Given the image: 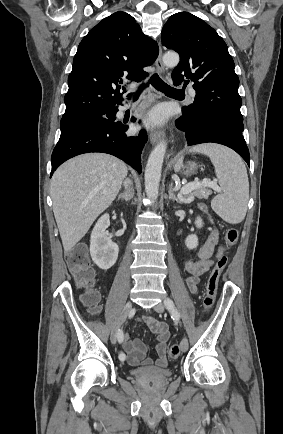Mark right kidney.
<instances>
[{
    "mask_svg": "<svg viewBox=\"0 0 283 434\" xmlns=\"http://www.w3.org/2000/svg\"><path fill=\"white\" fill-rule=\"evenodd\" d=\"M109 225V215L104 214L99 218L91 233L90 255L93 262L102 270H108L116 263L119 252L118 245L106 232Z\"/></svg>",
    "mask_w": 283,
    "mask_h": 434,
    "instance_id": "obj_1",
    "label": "right kidney"
}]
</instances>
